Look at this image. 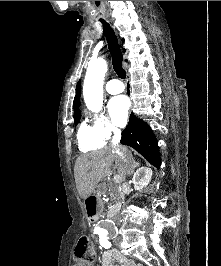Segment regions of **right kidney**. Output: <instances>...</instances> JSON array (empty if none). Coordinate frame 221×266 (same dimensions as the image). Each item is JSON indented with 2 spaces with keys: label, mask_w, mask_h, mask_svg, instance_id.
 <instances>
[{
  "label": "right kidney",
  "mask_w": 221,
  "mask_h": 266,
  "mask_svg": "<svg viewBox=\"0 0 221 266\" xmlns=\"http://www.w3.org/2000/svg\"><path fill=\"white\" fill-rule=\"evenodd\" d=\"M152 170L148 167L139 168L133 176V184L136 190H141L146 187L152 178Z\"/></svg>",
  "instance_id": "obj_1"
}]
</instances>
